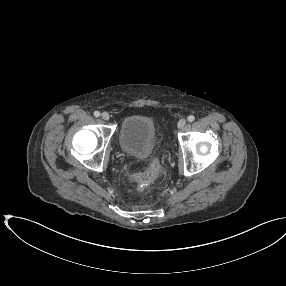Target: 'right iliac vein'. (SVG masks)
Listing matches in <instances>:
<instances>
[{
	"label": "right iliac vein",
	"mask_w": 286,
	"mask_h": 286,
	"mask_svg": "<svg viewBox=\"0 0 286 286\" xmlns=\"http://www.w3.org/2000/svg\"><path fill=\"white\" fill-rule=\"evenodd\" d=\"M102 119L108 121L110 119V115L107 112H103L101 115Z\"/></svg>",
	"instance_id": "1"
}]
</instances>
